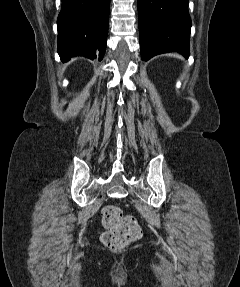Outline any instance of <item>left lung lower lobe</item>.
I'll use <instances>...</instances> for the list:
<instances>
[{"label":"left lung lower lobe","instance_id":"obj_1","mask_svg":"<svg viewBox=\"0 0 240 287\" xmlns=\"http://www.w3.org/2000/svg\"><path fill=\"white\" fill-rule=\"evenodd\" d=\"M188 0H138L142 60L170 51L189 56L191 18Z\"/></svg>","mask_w":240,"mask_h":287}]
</instances>
